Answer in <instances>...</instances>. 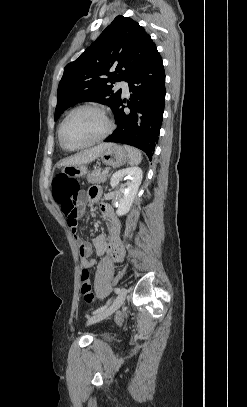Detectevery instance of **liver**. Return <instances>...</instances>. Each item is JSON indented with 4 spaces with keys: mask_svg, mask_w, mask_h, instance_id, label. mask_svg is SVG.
<instances>
[{
    "mask_svg": "<svg viewBox=\"0 0 247 407\" xmlns=\"http://www.w3.org/2000/svg\"><path fill=\"white\" fill-rule=\"evenodd\" d=\"M108 143H101L95 147L77 153L60 162V166H72L87 164L94 161L109 146Z\"/></svg>",
    "mask_w": 247,
    "mask_h": 407,
    "instance_id": "1",
    "label": "liver"
}]
</instances>
